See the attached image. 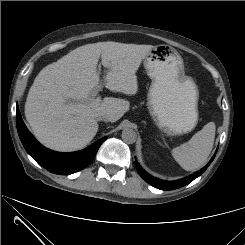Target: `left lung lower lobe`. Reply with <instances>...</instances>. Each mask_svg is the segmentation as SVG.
I'll return each instance as SVG.
<instances>
[{
  "instance_id": "1",
  "label": "left lung lower lobe",
  "mask_w": 245,
  "mask_h": 245,
  "mask_svg": "<svg viewBox=\"0 0 245 245\" xmlns=\"http://www.w3.org/2000/svg\"><path fill=\"white\" fill-rule=\"evenodd\" d=\"M217 152V151H216ZM215 155L212 157V159L210 160V162L203 167L201 170H199L198 172L184 178L181 180H177V181H163L160 180L158 178H155L153 176H151L150 174H148L145 170H143L139 163L137 161H135V165L137 167V170L140 174V176L147 181L149 184H151L152 186H154L155 188L161 189V190H173V189H177L180 188L182 186L187 185L188 183L192 182L194 179H196L197 177H199L202 173L205 172V170L207 169V167L210 165V163L213 161Z\"/></svg>"
}]
</instances>
